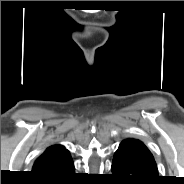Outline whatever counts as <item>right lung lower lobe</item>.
<instances>
[{
	"label": "right lung lower lobe",
	"instance_id": "98d812e1",
	"mask_svg": "<svg viewBox=\"0 0 184 184\" xmlns=\"http://www.w3.org/2000/svg\"><path fill=\"white\" fill-rule=\"evenodd\" d=\"M39 183L44 184H68L75 176L72 158H68L50 171L35 174Z\"/></svg>",
	"mask_w": 184,
	"mask_h": 184
}]
</instances>
